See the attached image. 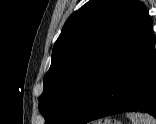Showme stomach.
<instances>
[{
	"instance_id": "1",
	"label": "stomach",
	"mask_w": 156,
	"mask_h": 124,
	"mask_svg": "<svg viewBox=\"0 0 156 124\" xmlns=\"http://www.w3.org/2000/svg\"><path fill=\"white\" fill-rule=\"evenodd\" d=\"M108 123H110V121H108ZM113 124V123H110ZM114 124H121V122L115 121Z\"/></svg>"
}]
</instances>
